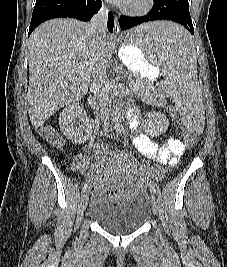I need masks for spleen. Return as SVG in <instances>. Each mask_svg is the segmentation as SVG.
Segmentation results:
<instances>
[{"mask_svg":"<svg viewBox=\"0 0 227 267\" xmlns=\"http://www.w3.org/2000/svg\"><path fill=\"white\" fill-rule=\"evenodd\" d=\"M124 43H128V47H140L145 59L160 63L163 76H157V81H165L177 104L190 105L178 106L179 115H202L193 46L197 38H192L181 22L151 19V22H143L125 33ZM182 121L185 129H190V134H201V129H206V116H182Z\"/></svg>","mask_w":227,"mask_h":267,"instance_id":"obj_1","label":"spleen"}]
</instances>
